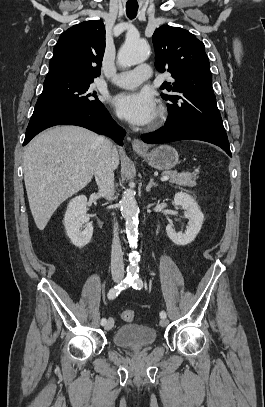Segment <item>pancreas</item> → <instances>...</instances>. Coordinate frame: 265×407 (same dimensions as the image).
Segmentation results:
<instances>
[{
  "mask_svg": "<svg viewBox=\"0 0 265 407\" xmlns=\"http://www.w3.org/2000/svg\"><path fill=\"white\" fill-rule=\"evenodd\" d=\"M165 175L170 176V183H174L179 186L184 187H194L196 186V179L198 178L197 173H177L174 171H167Z\"/></svg>",
  "mask_w": 265,
  "mask_h": 407,
  "instance_id": "cf45deb5",
  "label": "pancreas"
}]
</instances>
